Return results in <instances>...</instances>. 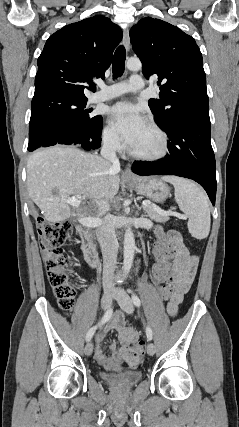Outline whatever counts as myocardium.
I'll return each instance as SVG.
<instances>
[{
	"instance_id": "myocardium-1",
	"label": "myocardium",
	"mask_w": 239,
	"mask_h": 427,
	"mask_svg": "<svg viewBox=\"0 0 239 427\" xmlns=\"http://www.w3.org/2000/svg\"><path fill=\"white\" fill-rule=\"evenodd\" d=\"M147 124L159 135L161 140V146L158 152L154 154H143L134 151L131 147H128V153L130 156H132L135 159L141 160V161H147V162H155L163 159L167 156L169 149H170V143H169V137L167 133L162 129L154 120L147 119Z\"/></svg>"
}]
</instances>
